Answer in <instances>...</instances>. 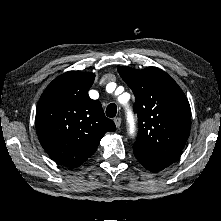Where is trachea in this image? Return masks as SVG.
Here are the masks:
<instances>
[{
  "label": "trachea",
  "mask_w": 221,
  "mask_h": 221,
  "mask_svg": "<svg viewBox=\"0 0 221 221\" xmlns=\"http://www.w3.org/2000/svg\"><path fill=\"white\" fill-rule=\"evenodd\" d=\"M117 113V106L114 103H111L106 108V115L110 118H113L116 116Z\"/></svg>",
  "instance_id": "3493384b"
}]
</instances>
